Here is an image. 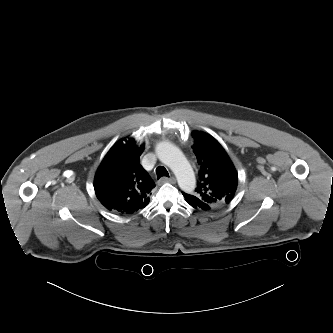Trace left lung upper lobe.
Instances as JSON below:
<instances>
[{
	"instance_id": "left-lung-upper-lobe-1",
	"label": "left lung upper lobe",
	"mask_w": 333,
	"mask_h": 333,
	"mask_svg": "<svg viewBox=\"0 0 333 333\" xmlns=\"http://www.w3.org/2000/svg\"><path fill=\"white\" fill-rule=\"evenodd\" d=\"M192 136L195 140L192 148L201 169L195 193L183 194L192 201L207 204L210 209L224 207L232 200L237 189L236 169L215 138L198 131H193Z\"/></svg>"
}]
</instances>
